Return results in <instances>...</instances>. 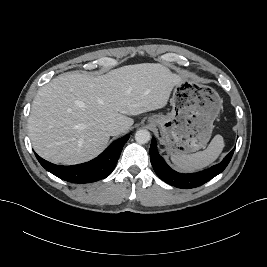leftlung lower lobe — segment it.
Segmentation results:
<instances>
[{
  "label": "left lung lower lobe",
  "mask_w": 267,
  "mask_h": 267,
  "mask_svg": "<svg viewBox=\"0 0 267 267\" xmlns=\"http://www.w3.org/2000/svg\"><path fill=\"white\" fill-rule=\"evenodd\" d=\"M234 149L223 159V161L209 169L193 174H181L171 169L164 159L159 155L156 140L153 138L150 146V161L157 176L166 183L182 188H195L211 180L220 174L229 164Z\"/></svg>",
  "instance_id": "left-lung-lower-lobe-1"
}]
</instances>
